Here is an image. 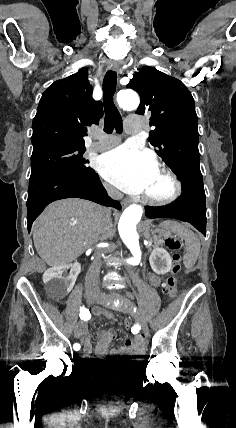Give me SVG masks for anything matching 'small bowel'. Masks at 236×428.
Listing matches in <instances>:
<instances>
[{
	"mask_svg": "<svg viewBox=\"0 0 236 428\" xmlns=\"http://www.w3.org/2000/svg\"><path fill=\"white\" fill-rule=\"evenodd\" d=\"M150 281L155 287L160 285V279L156 276H151ZM102 315L106 319L114 318L113 314L110 312H104L102 313ZM75 335L83 342L84 357L86 359L90 358L92 354V345L87 325L85 323L77 324L75 327ZM114 336L115 333L111 329L100 331L98 333V342L95 348V353L100 356L110 353L112 356L126 357L132 360H137L143 355L146 342L144 336L138 335L133 339H128L125 341L122 347L115 348L109 351L108 347Z\"/></svg>",
	"mask_w": 236,
	"mask_h": 428,
	"instance_id": "obj_1",
	"label": "small bowel"
}]
</instances>
